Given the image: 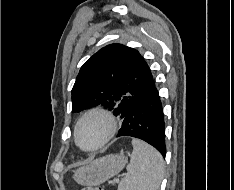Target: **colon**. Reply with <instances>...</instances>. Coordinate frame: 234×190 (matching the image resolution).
Instances as JSON below:
<instances>
[{
  "instance_id": "colon-1",
  "label": "colon",
  "mask_w": 234,
  "mask_h": 190,
  "mask_svg": "<svg viewBox=\"0 0 234 190\" xmlns=\"http://www.w3.org/2000/svg\"><path fill=\"white\" fill-rule=\"evenodd\" d=\"M82 190H104V189L101 186H97V187L84 188Z\"/></svg>"
}]
</instances>
